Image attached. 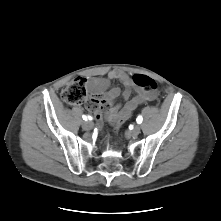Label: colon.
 <instances>
[{
    "label": "colon",
    "instance_id": "5ec220e1",
    "mask_svg": "<svg viewBox=\"0 0 221 221\" xmlns=\"http://www.w3.org/2000/svg\"><path fill=\"white\" fill-rule=\"evenodd\" d=\"M134 82L139 87L145 88L150 91L156 89V82L149 76L136 75ZM62 99L71 105H80L87 102L86 80L83 78H76L65 86L61 93ZM87 106L90 107L91 103L88 102ZM120 129V124L115 126V131Z\"/></svg>",
    "mask_w": 221,
    "mask_h": 221
}]
</instances>
